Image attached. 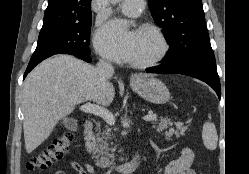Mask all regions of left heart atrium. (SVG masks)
Listing matches in <instances>:
<instances>
[{"label":"left heart atrium","instance_id":"1","mask_svg":"<svg viewBox=\"0 0 249 174\" xmlns=\"http://www.w3.org/2000/svg\"><path fill=\"white\" fill-rule=\"evenodd\" d=\"M135 31H127L122 21L114 20L101 28L95 44L100 52L115 61H130L133 55Z\"/></svg>","mask_w":249,"mask_h":174}]
</instances>
